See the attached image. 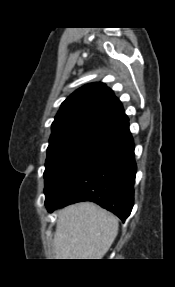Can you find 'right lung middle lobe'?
<instances>
[{
  "mask_svg": "<svg viewBox=\"0 0 175 287\" xmlns=\"http://www.w3.org/2000/svg\"><path fill=\"white\" fill-rule=\"evenodd\" d=\"M115 128L105 124H84L53 131L47 149L44 193L47 194L82 157Z\"/></svg>",
  "mask_w": 175,
  "mask_h": 287,
  "instance_id": "dd1d6c3e",
  "label": "right lung middle lobe"
}]
</instances>
